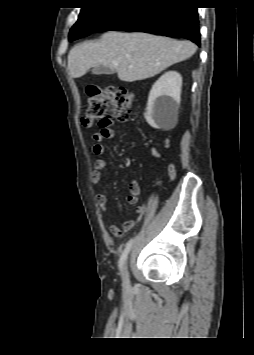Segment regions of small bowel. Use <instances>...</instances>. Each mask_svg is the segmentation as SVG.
Instances as JSON below:
<instances>
[{
  "label": "small bowel",
  "mask_w": 254,
  "mask_h": 355,
  "mask_svg": "<svg viewBox=\"0 0 254 355\" xmlns=\"http://www.w3.org/2000/svg\"><path fill=\"white\" fill-rule=\"evenodd\" d=\"M113 121L111 119H104L101 129L98 132H95L92 136L94 145L93 153L97 156V159L94 164V171L91 173V182L94 185H97L101 182L102 172L107 170V164L105 159L102 157L104 154V146L102 142L106 139H111L114 137L115 132L112 128ZM134 145V144H133ZM155 155L159 156L158 153ZM169 174L171 171L175 172V167L173 164L169 165ZM140 194V185L137 181H131L129 184V195L127 196V202L130 205H134L138 202ZM97 200L102 210L108 211V198L104 193H100L97 196ZM143 208H137L136 216L134 219L126 221L121 225H109L108 229L112 235L115 237H122L124 234L130 232L137 224L138 219L143 214Z\"/></svg>",
  "instance_id": "c3829d8e"
}]
</instances>
